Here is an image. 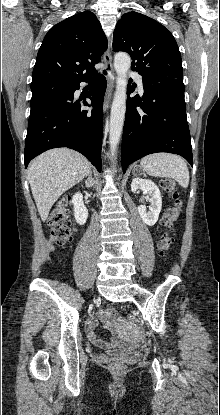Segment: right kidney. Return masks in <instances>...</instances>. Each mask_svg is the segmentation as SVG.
<instances>
[{
    "label": "right kidney",
    "mask_w": 220,
    "mask_h": 415,
    "mask_svg": "<svg viewBox=\"0 0 220 415\" xmlns=\"http://www.w3.org/2000/svg\"><path fill=\"white\" fill-rule=\"evenodd\" d=\"M74 205V217L79 225H84L88 217V210L84 206L83 196L80 192L76 193L72 198Z\"/></svg>",
    "instance_id": "obj_1"
}]
</instances>
